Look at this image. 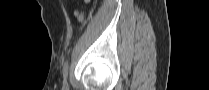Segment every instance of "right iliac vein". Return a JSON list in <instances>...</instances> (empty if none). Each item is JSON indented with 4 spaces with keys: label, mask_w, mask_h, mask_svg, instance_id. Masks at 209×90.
Masks as SVG:
<instances>
[{
    "label": "right iliac vein",
    "mask_w": 209,
    "mask_h": 90,
    "mask_svg": "<svg viewBox=\"0 0 209 90\" xmlns=\"http://www.w3.org/2000/svg\"><path fill=\"white\" fill-rule=\"evenodd\" d=\"M63 88H64V90H68L69 89L67 81L64 82Z\"/></svg>",
    "instance_id": "63e3f726"
}]
</instances>
